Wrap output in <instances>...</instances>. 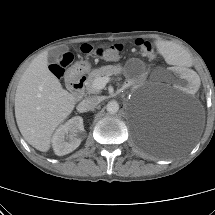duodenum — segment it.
<instances>
[{
	"instance_id": "410a0bca",
	"label": "duodenum",
	"mask_w": 215,
	"mask_h": 215,
	"mask_svg": "<svg viewBox=\"0 0 215 215\" xmlns=\"http://www.w3.org/2000/svg\"><path fill=\"white\" fill-rule=\"evenodd\" d=\"M66 81L69 89L75 97L80 98L84 91L85 76L82 71L77 68L69 70L66 76Z\"/></svg>"
}]
</instances>
